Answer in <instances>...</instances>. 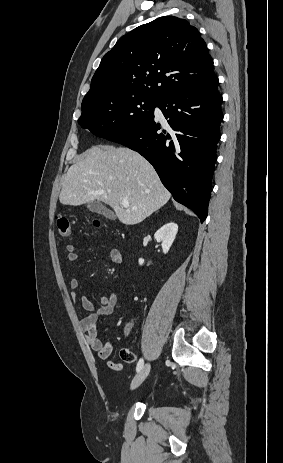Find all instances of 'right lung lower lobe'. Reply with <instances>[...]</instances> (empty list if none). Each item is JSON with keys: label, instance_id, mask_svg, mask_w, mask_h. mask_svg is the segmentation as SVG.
I'll return each instance as SVG.
<instances>
[{"label": "right lung lower lobe", "instance_id": "obj_1", "mask_svg": "<svg viewBox=\"0 0 283 463\" xmlns=\"http://www.w3.org/2000/svg\"><path fill=\"white\" fill-rule=\"evenodd\" d=\"M217 86L215 78L206 85L168 94L157 104L167 125L153 115L134 129L108 139L146 158L173 198L192 209L201 223L207 217L223 120Z\"/></svg>", "mask_w": 283, "mask_h": 463}]
</instances>
